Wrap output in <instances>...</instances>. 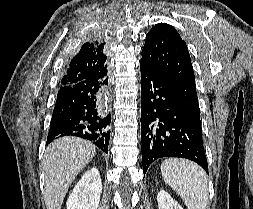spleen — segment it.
<instances>
[{
	"label": "spleen",
	"mask_w": 253,
	"mask_h": 209,
	"mask_svg": "<svg viewBox=\"0 0 253 209\" xmlns=\"http://www.w3.org/2000/svg\"><path fill=\"white\" fill-rule=\"evenodd\" d=\"M164 181L183 199L188 209H206L208 180L197 164L183 159H167L161 164Z\"/></svg>",
	"instance_id": "spleen-1"
}]
</instances>
